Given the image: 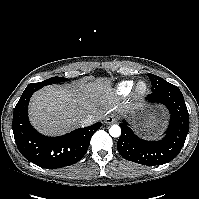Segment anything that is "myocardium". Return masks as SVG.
<instances>
[{"instance_id": "obj_1", "label": "myocardium", "mask_w": 199, "mask_h": 199, "mask_svg": "<svg viewBox=\"0 0 199 199\" xmlns=\"http://www.w3.org/2000/svg\"><path fill=\"white\" fill-rule=\"evenodd\" d=\"M148 90V85L144 81L140 80L134 87L133 95L136 99H141L148 94Z\"/></svg>"}]
</instances>
